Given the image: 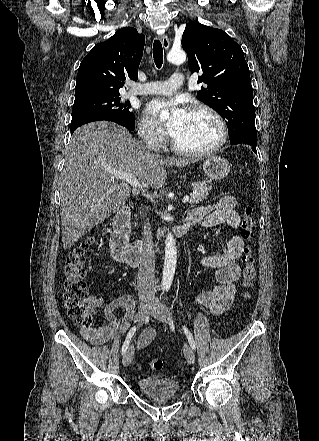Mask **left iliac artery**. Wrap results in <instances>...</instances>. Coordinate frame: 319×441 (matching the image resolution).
Instances as JSON below:
<instances>
[{
	"label": "left iliac artery",
	"instance_id": "1",
	"mask_svg": "<svg viewBox=\"0 0 319 441\" xmlns=\"http://www.w3.org/2000/svg\"><path fill=\"white\" fill-rule=\"evenodd\" d=\"M182 328H183V330H184V333L186 334V337H187V339H188V342H189L191 348H192L193 350H195V348H196V347H195V341H194V339H193V336H192L190 330H189L186 326H182Z\"/></svg>",
	"mask_w": 319,
	"mask_h": 441
}]
</instances>
